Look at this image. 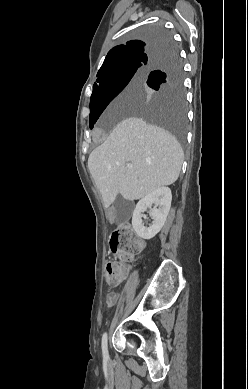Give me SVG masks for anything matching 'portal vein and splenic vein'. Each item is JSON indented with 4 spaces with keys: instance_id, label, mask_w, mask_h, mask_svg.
I'll return each instance as SVG.
<instances>
[{
    "instance_id": "portal-vein-and-splenic-vein-1",
    "label": "portal vein and splenic vein",
    "mask_w": 248,
    "mask_h": 389,
    "mask_svg": "<svg viewBox=\"0 0 248 389\" xmlns=\"http://www.w3.org/2000/svg\"><path fill=\"white\" fill-rule=\"evenodd\" d=\"M127 168L131 169L132 168V164H127Z\"/></svg>"
}]
</instances>
